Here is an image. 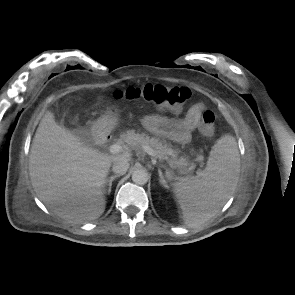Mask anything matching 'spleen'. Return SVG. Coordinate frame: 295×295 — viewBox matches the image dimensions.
<instances>
[{
	"mask_svg": "<svg viewBox=\"0 0 295 295\" xmlns=\"http://www.w3.org/2000/svg\"><path fill=\"white\" fill-rule=\"evenodd\" d=\"M239 172L236 140L225 135L213 146L203 171L197 176L180 178L174 184L185 224L196 227L211 219L235 191Z\"/></svg>",
	"mask_w": 295,
	"mask_h": 295,
	"instance_id": "obj_1",
	"label": "spleen"
}]
</instances>
